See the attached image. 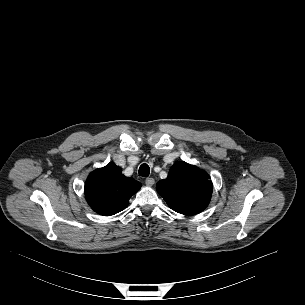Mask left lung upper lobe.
Wrapping results in <instances>:
<instances>
[{"label":"left lung upper lobe","mask_w":305,"mask_h":305,"mask_svg":"<svg viewBox=\"0 0 305 305\" xmlns=\"http://www.w3.org/2000/svg\"><path fill=\"white\" fill-rule=\"evenodd\" d=\"M156 189L171 209L195 215L209 204L212 182L205 171L181 161L171 167L168 177L159 181Z\"/></svg>","instance_id":"1"}]
</instances>
